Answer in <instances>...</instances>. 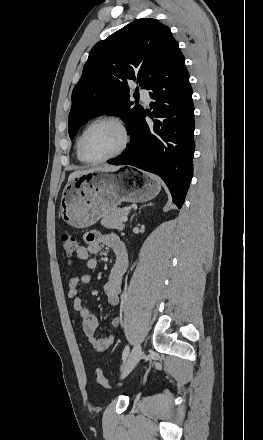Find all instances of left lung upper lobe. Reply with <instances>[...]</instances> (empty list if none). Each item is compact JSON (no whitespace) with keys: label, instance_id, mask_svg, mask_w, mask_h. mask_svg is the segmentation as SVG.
<instances>
[{"label":"left lung upper lobe","instance_id":"5c2ea615","mask_svg":"<svg viewBox=\"0 0 263 440\" xmlns=\"http://www.w3.org/2000/svg\"><path fill=\"white\" fill-rule=\"evenodd\" d=\"M176 47L170 29L155 19H137L95 44L72 92L70 138L103 114L121 116L131 128L144 109L130 101L128 82L147 88Z\"/></svg>","mask_w":263,"mask_h":440}]
</instances>
